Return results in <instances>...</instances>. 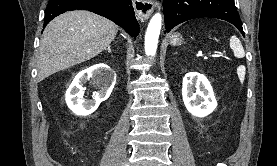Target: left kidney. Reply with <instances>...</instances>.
Segmentation results:
<instances>
[{
  "mask_svg": "<svg viewBox=\"0 0 277 166\" xmlns=\"http://www.w3.org/2000/svg\"><path fill=\"white\" fill-rule=\"evenodd\" d=\"M182 97L189 113L196 117H205L217 107L210 82L197 72L187 73L183 78Z\"/></svg>",
  "mask_w": 277,
  "mask_h": 166,
  "instance_id": "5707ae66",
  "label": "left kidney"
}]
</instances>
